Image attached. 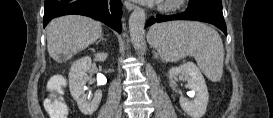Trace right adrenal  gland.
Returning <instances> with one entry per match:
<instances>
[{
  "mask_svg": "<svg viewBox=\"0 0 273 118\" xmlns=\"http://www.w3.org/2000/svg\"><path fill=\"white\" fill-rule=\"evenodd\" d=\"M101 40H105V41H106V39H104V35H103V34L100 36V39L97 41V44H98Z\"/></svg>",
  "mask_w": 273,
  "mask_h": 118,
  "instance_id": "2a0ac1e0",
  "label": "right adrenal gland"
}]
</instances>
